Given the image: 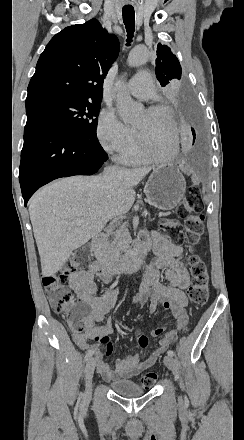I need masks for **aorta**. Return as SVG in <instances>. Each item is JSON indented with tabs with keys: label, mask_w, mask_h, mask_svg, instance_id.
<instances>
[{
	"label": "aorta",
	"mask_w": 244,
	"mask_h": 440,
	"mask_svg": "<svg viewBox=\"0 0 244 440\" xmlns=\"http://www.w3.org/2000/svg\"><path fill=\"white\" fill-rule=\"evenodd\" d=\"M149 57V51L145 47H135L129 53L128 64L131 67H138L144 64ZM125 84L123 80H119L115 89L117 91L116 107L122 121L126 124H131L137 120L141 111L142 104L134 101L129 94L124 90Z\"/></svg>",
	"instance_id": "obj_1"
}]
</instances>
